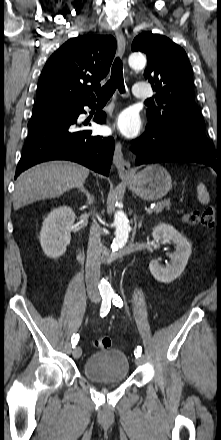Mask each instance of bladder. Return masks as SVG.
<instances>
[{
    "mask_svg": "<svg viewBox=\"0 0 221 440\" xmlns=\"http://www.w3.org/2000/svg\"><path fill=\"white\" fill-rule=\"evenodd\" d=\"M129 360L118 349L103 350L87 358L83 366L84 376L98 383H120L129 376Z\"/></svg>",
    "mask_w": 221,
    "mask_h": 440,
    "instance_id": "31cf9c89",
    "label": "bladder"
}]
</instances>
